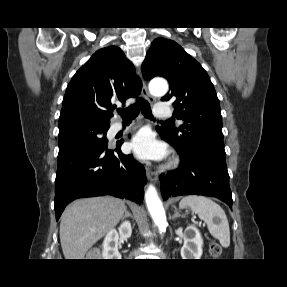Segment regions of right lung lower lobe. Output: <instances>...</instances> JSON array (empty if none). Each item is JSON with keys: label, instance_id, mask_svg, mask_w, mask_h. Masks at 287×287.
<instances>
[{"label": "right lung lower lobe", "instance_id": "right-lung-lower-lobe-1", "mask_svg": "<svg viewBox=\"0 0 287 287\" xmlns=\"http://www.w3.org/2000/svg\"><path fill=\"white\" fill-rule=\"evenodd\" d=\"M116 147L73 144L58 153L55 214L58 220L73 200L112 195L141 204L147 182L144 167Z\"/></svg>", "mask_w": 287, "mask_h": 287}]
</instances>
